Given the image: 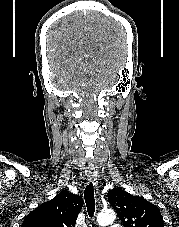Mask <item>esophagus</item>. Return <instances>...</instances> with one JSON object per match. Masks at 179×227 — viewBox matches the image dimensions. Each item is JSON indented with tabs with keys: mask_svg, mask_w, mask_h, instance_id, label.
I'll return each instance as SVG.
<instances>
[{
	"mask_svg": "<svg viewBox=\"0 0 179 227\" xmlns=\"http://www.w3.org/2000/svg\"><path fill=\"white\" fill-rule=\"evenodd\" d=\"M87 179L89 182H92L95 189L97 190V181L93 172V169H89L88 173H87Z\"/></svg>",
	"mask_w": 179,
	"mask_h": 227,
	"instance_id": "1",
	"label": "esophagus"
}]
</instances>
